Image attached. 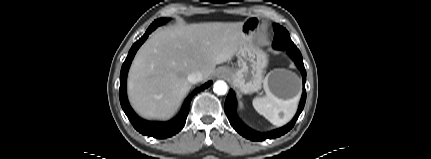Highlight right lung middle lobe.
Wrapping results in <instances>:
<instances>
[{
    "label": "right lung middle lobe",
    "mask_w": 431,
    "mask_h": 159,
    "mask_svg": "<svg viewBox=\"0 0 431 159\" xmlns=\"http://www.w3.org/2000/svg\"><path fill=\"white\" fill-rule=\"evenodd\" d=\"M167 21H168V19H166V18L157 19L151 24V26H154L157 28L158 26L166 23Z\"/></svg>",
    "instance_id": "right-lung-middle-lobe-1"
}]
</instances>
